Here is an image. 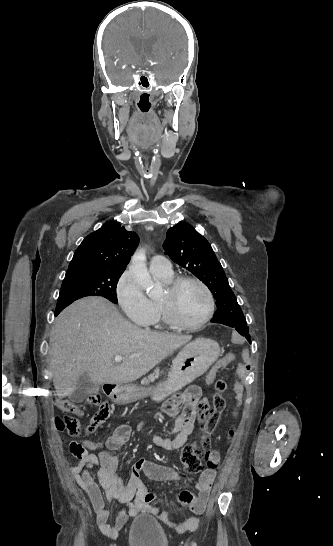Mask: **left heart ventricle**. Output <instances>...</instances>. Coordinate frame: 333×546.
<instances>
[{"label": "left heart ventricle", "mask_w": 333, "mask_h": 546, "mask_svg": "<svg viewBox=\"0 0 333 546\" xmlns=\"http://www.w3.org/2000/svg\"><path fill=\"white\" fill-rule=\"evenodd\" d=\"M167 291L160 300H167ZM176 316L183 322L193 324L198 322L207 309V297L204 291L195 283L183 284L170 299Z\"/></svg>", "instance_id": "obj_1"}]
</instances>
